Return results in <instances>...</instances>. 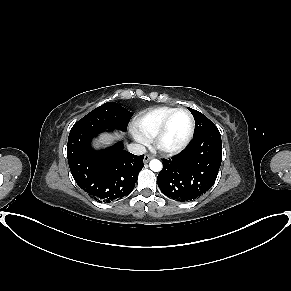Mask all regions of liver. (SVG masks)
<instances>
[{
  "label": "liver",
  "mask_w": 291,
  "mask_h": 291,
  "mask_svg": "<svg viewBox=\"0 0 291 291\" xmlns=\"http://www.w3.org/2000/svg\"><path fill=\"white\" fill-rule=\"evenodd\" d=\"M120 139V136H118L117 134L115 136H110V135H105V136H102L101 140L99 142H96L94 144V147L97 149H99L100 146H106V145H110L113 140H118Z\"/></svg>",
  "instance_id": "6515ba94"
}]
</instances>
